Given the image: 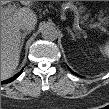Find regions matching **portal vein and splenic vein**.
Returning <instances> with one entry per match:
<instances>
[{"mask_svg": "<svg viewBox=\"0 0 109 109\" xmlns=\"http://www.w3.org/2000/svg\"><path fill=\"white\" fill-rule=\"evenodd\" d=\"M9 10H13V8H8V9H6V10H4L3 12H7V11H9ZM77 22H78V20H77ZM92 27H96V25H91Z\"/></svg>", "mask_w": 109, "mask_h": 109, "instance_id": "obj_1", "label": "portal vein and splenic vein"}]
</instances>
